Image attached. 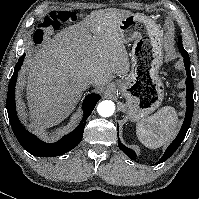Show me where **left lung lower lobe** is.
I'll return each mask as SVG.
<instances>
[{
	"label": "left lung lower lobe",
	"mask_w": 199,
	"mask_h": 199,
	"mask_svg": "<svg viewBox=\"0 0 199 199\" xmlns=\"http://www.w3.org/2000/svg\"><path fill=\"white\" fill-rule=\"evenodd\" d=\"M178 48L180 50L181 55L184 58V65L186 69V114L185 119L182 125V128L180 132L178 133L175 140L170 144V146L166 149L165 153L161 157V159L158 161V164L166 161L180 146L181 142L185 138V135L190 127L192 115H193V109H194V100H193V79L191 77V71H190V58L188 53L185 51L183 45L181 43H178ZM118 146L119 148L132 160L136 158V153L131 150L130 148L124 146L120 140H118Z\"/></svg>",
	"instance_id": "0a47b994"
}]
</instances>
